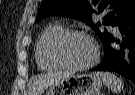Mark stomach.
I'll list each match as a JSON object with an SVG mask.
<instances>
[{
    "instance_id": "stomach-1",
    "label": "stomach",
    "mask_w": 135,
    "mask_h": 95,
    "mask_svg": "<svg viewBox=\"0 0 135 95\" xmlns=\"http://www.w3.org/2000/svg\"><path fill=\"white\" fill-rule=\"evenodd\" d=\"M102 87V80L93 74H71L52 85L45 95H95Z\"/></svg>"
}]
</instances>
